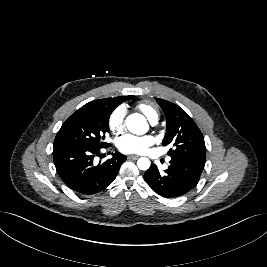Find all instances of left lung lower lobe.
<instances>
[{
	"mask_svg": "<svg viewBox=\"0 0 267 267\" xmlns=\"http://www.w3.org/2000/svg\"><path fill=\"white\" fill-rule=\"evenodd\" d=\"M204 165L178 158H171L168 169L160 172L155 164L145 172L146 183L157 194L166 198L182 196L194 188Z\"/></svg>",
	"mask_w": 267,
	"mask_h": 267,
	"instance_id": "0a47b994",
	"label": "left lung lower lobe"
}]
</instances>
